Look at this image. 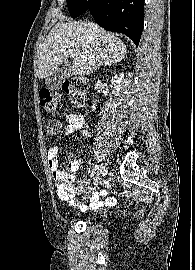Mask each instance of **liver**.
I'll return each mask as SVG.
<instances>
[{
	"mask_svg": "<svg viewBox=\"0 0 195 270\" xmlns=\"http://www.w3.org/2000/svg\"><path fill=\"white\" fill-rule=\"evenodd\" d=\"M70 50L78 53L71 65L72 74L90 75L101 65L125 58L127 47L121 39L92 22H60L47 35L38 62L37 76L49 77L62 65Z\"/></svg>",
	"mask_w": 195,
	"mask_h": 270,
	"instance_id": "6515ba94",
	"label": "liver"
}]
</instances>
